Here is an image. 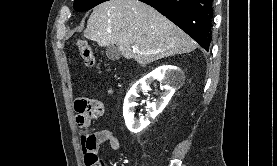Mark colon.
<instances>
[{
    "mask_svg": "<svg viewBox=\"0 0 277 166\" xmlns=\"http://www.w3.org/2000/svg\"><path fill=\"white\" fill-rule=\"evenodd\" d=\"M76 45L78 47V50L80 52L81 58L84 61L85 65L88 67H92L95 64V56L94 53L92 51V49L90 48V46L87 44V42L83 41V40H78L76 42ZM88 126L82 128L83 132L85 133H89L88 131ZM90 162L94 165V166H105V164L103 163L102 160H100L98 158V156H93L90 158Z\"/></svg>",
    "mask_w": 277,
    "mask_h": 166,
    "instance_id": "obj_1",
    "label": "colon"
}]
</instances>
